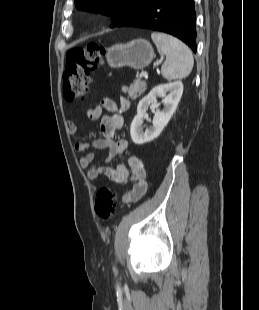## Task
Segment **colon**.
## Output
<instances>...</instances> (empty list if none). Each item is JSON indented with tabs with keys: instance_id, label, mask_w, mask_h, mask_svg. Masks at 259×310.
Listing matches in <instances>:
<instances>
[{
	"instance_id": "obj_1",
	"label": "colon",
	"mask_w": 259,
	"mask_h": 310,
	"mask_svg": "<svg viewBox=\"0 0 259 310\" xmlns=\"http://www.w3.org/2000/svg\"><path fill=\"white\" fill-rule=\"evenodd\" d=\"M104 46L90 43L75 47L67 53V64L64 74V94L68 100L84 99L88 93L90 73L97 70L104 55ZM116 193L109 187H102L94 202L95 213L102 220H109L115 212Z\"/></svg>"
}]
</instances>
